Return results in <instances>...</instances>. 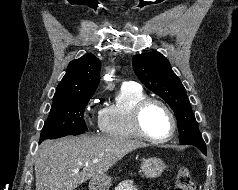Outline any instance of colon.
<instances>
[{
    "label": "colon",
    "instance_id": "1",
    "mask_svg": "<svg viewBox=\"0 0 238 190\" xmlns=\"http://www.w3.org/2000/svg\"><path fill=\"white\" fill-rule=\"evenodd\" d=\"M173 190H195L193 178L187 168L179 170Z\"/></svg>",
    "mask_w": 238,
    "mask_h": 190
}]
</instances>
